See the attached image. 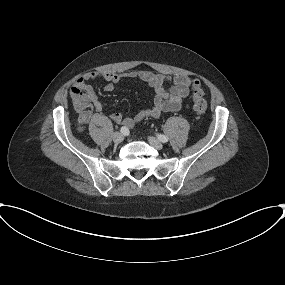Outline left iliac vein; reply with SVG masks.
I'll return each instance as SVG.
<instances>
[{"label":"left iliac vein","mask_w":285,"mask_h":285,"mask_svg":"<svg viewBox=\"0 0 285 285\" xmlns=\"http://www.w3.org/2000/svg\"><path fill=\"white\" fill-rule=\"evenodd\" d=\"M148 141L151 146H153L157 150H161L163 148V144L156 138L154 137H149Z\"/></svg>","instance_id":"4c4485c4"}]
</instances>
